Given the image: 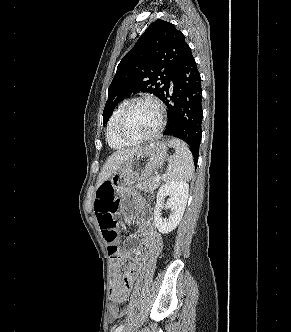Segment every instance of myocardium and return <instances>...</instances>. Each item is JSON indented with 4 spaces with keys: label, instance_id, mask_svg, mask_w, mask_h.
I'll use <instances>...</instances> for the list:
<instances>
[{
    "label": "myocardium",
    "instance_id": "myocardium-1",
    "mask_svg": "<svg viewBox=\"0 0 291 332\" xmlns=\"http://www.w3.org/2000/svg\"><path fill=\"white\" fill-rule=\"evenodd\" d=\"M140 102L151 103L152 105L155 106V108L157 109V113H158V126L155 129V131L153 133H151L150 135H147L145 137H140V138H133V137L128 136L124 132V121H125V118L129 112V110L135 104L140 103ZM164 126H165V109H164L163 104L154 97L140 96V97H136V98L130 100L122 109V111L119 115L118 121H117V133L123 141L128 142L130 144H137V143H143L146 141H150V140L156 138L163 131Z\"/></svg>",
    "mask_w": 291,
    "mask_h": 332
}]
</instances>
